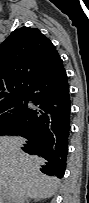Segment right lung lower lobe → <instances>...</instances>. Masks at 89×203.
Masks as SVG:
<instances>
[{"instance_id": "1", "label": "right lung lower lobe", "mask_w": 89, "mask_h": 203, "mask_svg": "<svg viewBox=\"0 0 89 203\" xmlns=\"http://www.w3.org/2000/svg\"><path fill=\"white\" fill-rule=\"evenodd\" d=\"M27 98L36 107L28 109L9 135L26 138L28 141L21 149L46 160L41 172L62 178L70 131V97L63 64L41 77Z\"/></svg>"}]
</instances>
